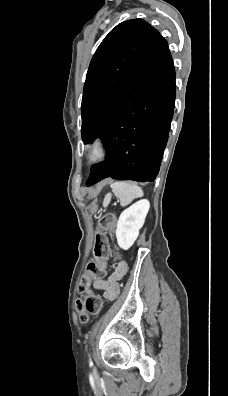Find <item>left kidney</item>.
Returning <instances> with one entry per match:
<instances>
[{"label":"left kidney","mask_w":228,"mask_h":396,"mask_svg":"<svg viewBox=\"0 0 228 396\" xmlns=\"http://www.w3.org/2000/svg\"><path fill=\"white\" fill-rule=\"evenodd\" d=\"M150 208L148 200L143 199L125 209L117 222L116 238L123 250H128L136 241L139 230L145 222Z\"/></svg>","instance_id":"5707ae66"}]
</instances>
